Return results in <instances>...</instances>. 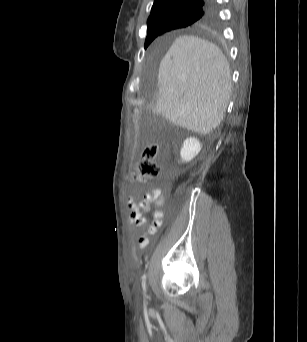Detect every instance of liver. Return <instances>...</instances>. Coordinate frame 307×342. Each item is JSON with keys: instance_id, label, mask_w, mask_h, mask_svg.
I'll return each mask as SVG.
<instances>
[{"instance_id": "1", "label": "liver", "mask_w": 307, "mask_h": 342, "mask_svg": "<svg viewBox=\"0 0 307 342\" xmlns=\"http://www.w3.org/2000/svg\"><path fill=\"white\" fill-rule=\"evenodd\" d=\"M156 114L206 136L221 124L232 88L221 50L197 36H179L160 62Z\"/></svg>"}]
</instances>
